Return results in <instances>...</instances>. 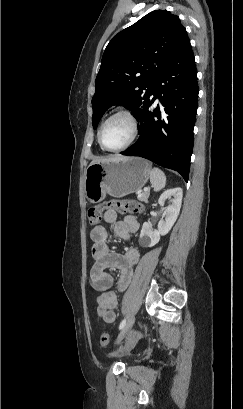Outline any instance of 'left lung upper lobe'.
I'll return each instance as SVG.
<instances>
[{"label":"left lung upper lobe","mask_w":243,"mask_h":409,"mask_svg":"<svg viewBox=\"0 0 243 409\" xmlns=\"http://www.w3.org/2000/svg\"><path fill=\"white\" fill-rule=\"evenodd\" d=\"M188 39L179 17L167 10H154L115 35L95 81L93 128L111 104L125 106L137 118L155 80Z\"/></svg>","instance_id":"left-lung-upper-lobe-1"}]
</instances>
